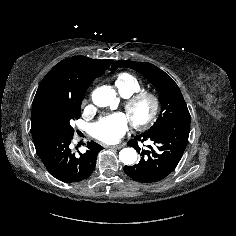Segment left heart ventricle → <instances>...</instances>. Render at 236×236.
I'll list each match as a JSON object with an SVG mask.
<instances>
[{
  "label": "left heart ventricle",
  "mask_w": 236,
  "mask_h": 236,
  "mask_svg": "<svg viewBox=\"0 0 236 236\" xmlns=\"http://www.w3.org/2000/svg\"><path fill=\"white\" fill-rule=\"evenodd\" d=\"M150 105L148 102L144 101L139 103L132 112V117L136 120L144 118L149 112Z\"/></svg>",
  "instance_id": "1"
}]
</instances>
